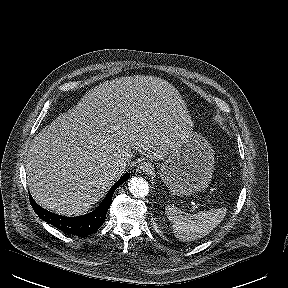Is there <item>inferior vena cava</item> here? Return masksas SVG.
Returning a JSON list of instances; mask_svg holds the SVG:
<instances>
[{"mask_svg":"<svg viewBox=\"0 0 288 288\" xmlns=\"http://www.w3.org/2000/svg\"><path fill=\"white\" fill-rule=\"evenodd\" d=\"M126 167L127 162L125 159L116 160L110 166V174L115 175L117 173H123Z\"/></svg>","mask_w":288,"mask_h":288,"instance_id":"inferior-vena-cava-1","label":"inferior vena cava"}]
</instances>
